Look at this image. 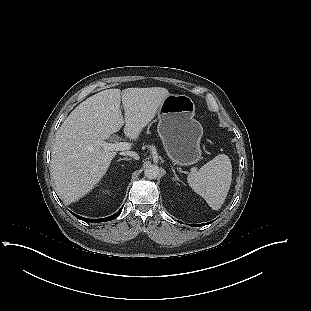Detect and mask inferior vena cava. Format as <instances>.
<instances>
[{
	"mask_svg": "<svg viewBox=\"0 0 311 311\" xmlns=\"http://www.w3.org/2000/svg\"><path fill=\"white\" fill-rule=\"evenodd\" d=\"M122 154L130 156V157H132L135 160H139V158H140L139 155L136 152H134V151H127V152H123Z\"/></svg>",
	"mask_w": 311,
	"mask_h": 311,
	"instance_id": "inferior-vena-cava-1",
	"label": "inferior vena cava"
}]
</instances>
